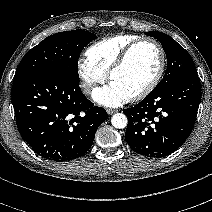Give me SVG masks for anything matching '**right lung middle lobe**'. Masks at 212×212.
<instances>
[{
  "instance_id": "dd1d6c3e",
  "label": "right lung middle lobe",
  "mask_w": 212,
  "mask_h": 212,
  "mask_svg": "<svg viewBox=\"0 0 212 212\" xmlns=\"http://www.w3.org/2000/svg\"><path fill=\"white\" fill-rule=\"evenodd\" d=\"M95 38L96 35L84 30L50 35L24 55L15 77L32 72L51 71L79 83L78 56Z\"/></svg>"
}]
</instances>
